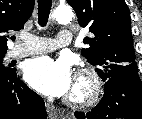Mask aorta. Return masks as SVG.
<instances>
[{"mask_svg":"<svg viewBox=\"0 0 142 119\" xmlns=\"http://www.w3.org/2000/svg\"><path fill=\"white\" fill-rule=\"evenodd\" d=\"M73 13L68 7H58L53 13V19L58 23H68L72 20Z\"/></svg>","mask_w":142,"mask_h":119,"instance_id":"aorta-1","label":"aorta"}]
</instances>
